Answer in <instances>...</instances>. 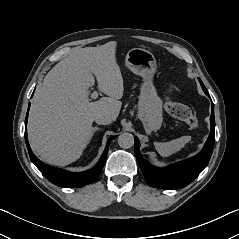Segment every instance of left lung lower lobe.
<instances>
[{
    "instance_id": "left-lung-lower-lobe-1",
    "label": "left lung lower lobe",
    "mask_w": 239,
    "mask_h": 239,
    "mask_svg": "<svg viewBox=\"0 0 239 239\" xmlns=\"http://www.w3.org/2000/svg\"><path fill=\"white\" fill-rule=\"evenodd\" d=\"M201 86L205 94L209 96L205 86L202 84ZM210 124L211 132L202 151L190 159L171 164L166 168H157L148 163L142 157V154L139 150V140L137 137H135V156L143 175L150 186L161 189H180L190 184L202 172L210 160L215 142V119L213 103Z\"/></svg>"
}]
</instances>
